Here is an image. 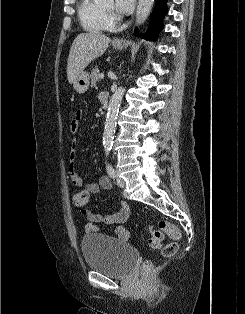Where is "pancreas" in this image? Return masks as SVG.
<instances>
[{
  "instance_id": "obj_1",
  "label": "pancreas",
  "mask_w": 245,
  "mask_h": 314,
  "mask_svg": "<svg viewBox=\"0 0 245 314\" xmlns=\"http://www.w3.org/2000/svg\"><path fill=\"white\" fill-rule=\"evenodd\" d=\"M99 74H100V71L97 67L92 69L91 75H90L92 86H95L96 83L99 81Z\"/></svg>"
}]
</instances>
